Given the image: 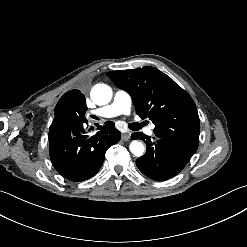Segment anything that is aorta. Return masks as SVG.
<instances>
[{
  "instance_id": "aorta-1",
  "label": "aorta",
  "mask_w": 247,
  "mask_h": 247,
  "mask_svg": "<svg viewBox=\"0 0 247 247\" xmlns=\"http://www.w3.org/2000/svg\"><path fill=\"white\" fill-rule=\"evenodd\" d=\"M90 96L95 104L105 105L112 98V89L106 84H97L92 88ZM129 148L138 157L142 156L145 150L143 143L137 140L132 141Z\"/></svg>"
}]
</instances>
